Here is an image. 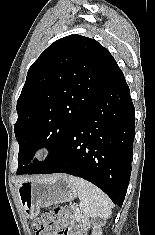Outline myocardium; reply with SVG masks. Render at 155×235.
<instances>
[{
  "instance_id": "obj_1",
  "label": "myocardium",
  "mask_w": 155,
  "mask_h": 235,
  "mask_svg": "<svg viewBox=\"0 0 155 235\" xmlns=\"http://www.w3.org/2000/svg\"><path fill=\"white\" fill-rule=\"evenodd\" d=\"M54 148L51 144L42 143L35 146L31 152V157L36 161H43L51 156Z\"/></svg>"
}]
</instances>
